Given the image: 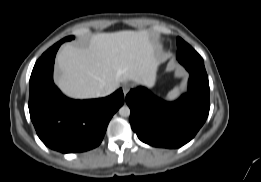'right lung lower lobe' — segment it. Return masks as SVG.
<instances>
[{
    "instance_id": "obj_1",
    "label": "right lung lower lobe",
    "mask_w": 261,
    "mask_h": 182,
    "mask_svg": "<svg viewBox=\"0 0 261 182\" xmlns=\"http://www.w3.org/2000/svg\"><path fill=\"white\" fill-rule=\"evenodd\" d=\"M62 41L50 47L36 62L30 77L29 112L42 142L62 153L97 147L114 113L123 105L122 89L91 100L65 97L53 83L55 56Z\"/></svg>"
}]
</instances>
